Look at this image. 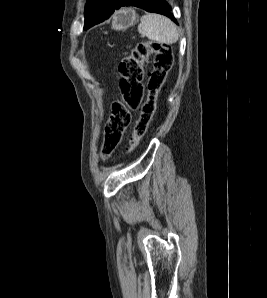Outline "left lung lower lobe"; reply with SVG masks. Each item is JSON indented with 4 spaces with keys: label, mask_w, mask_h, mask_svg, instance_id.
<instances>
[{
    "label": "left lung lower lobe",
    "mask_w": 267,
    "mask_h": 298,
    "mask_svg": "<svg viewBox=\"0 0 267 298\" xmlns=\"http://www.w3.org/2000/svg\"><path fill=\"white\" fill-rule=\"evenodd\" d=\"M123 6H136L142 8L148 12H155L163 14L169 18H171L174 22L176 21L173 15L170 13V6L164 0H116L114 4L102 14H98L93 16L85 25L84 29H89L90 27L103 22L106 20L111 14L118 10Z\"/></svg>",
    "instance_id": "0a47b994"
}]
</instances>
